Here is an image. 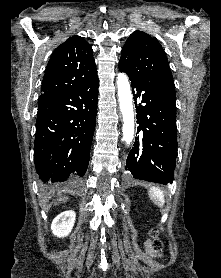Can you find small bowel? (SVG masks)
<instances>
[{"instance_id":"1","label":"small bowel","mask_w":221,"mask_h":278,"mask_svg":"<svg viewBox=\"0 0 221 278\" xmlns=\"http://www.w3.org/2000/svg\"><path fill=\"white\" fill-rule=\"evenodd\" d=\"M146 248H147V250H148V251H150V247H149V245H147V246H146Z\"/></svg>"}]
</instances>
